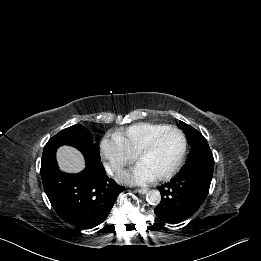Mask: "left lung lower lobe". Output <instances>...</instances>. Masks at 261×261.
<instances>
[{
  "instance_id": "obj_1",
  "label": "left lung lower lobe",
  "mask_w": 261,
  "mask_h": 261,
  "mask_svg": "<svg viewBox=\"0 0 261 261\" xmlns=\"http://www.w3.org/2000/svg\"><path fill=\"white\" fill-rule=\"evenodd\" d=\"M214 159L208 144L195 149L181 172L158 187L161 203L154 209L163 222L176 224L192 216L204 202L210 187Z\"/></svg>"
}]
</instances>
